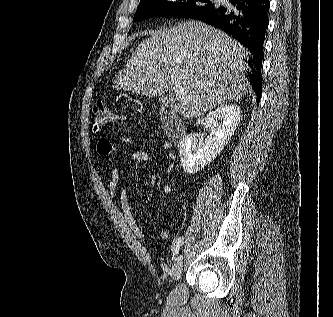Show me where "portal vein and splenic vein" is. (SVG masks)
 Segmentation results:
<instances>
[{"mask_svg":"<svg viewBox=\"0 0 333 317\" xmlns=\"http://www.w3.org/2000/svg\"><path fill=\"white\" fill-rule=\"evenodd\" d=\"M174 91H175V98L177 101H181L184 99V96L186 95L184 92V89L181 86H174Z\"/></svg>","mask_w":333,"mask_h":317,"instance_id":"obj_1","label":"portal vein and splenic vein"}]
</instances>
